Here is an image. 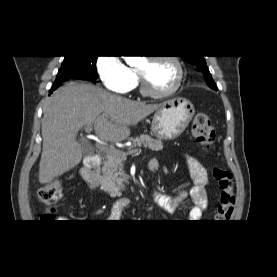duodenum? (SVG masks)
<instances>
[{"mask_svg": "<svg viewBox=\"0 0 277 277\" xmlns=\"http://www.w3.org/2000/svg\"><path fill=\"white\" fill-rule=\"evenodd\" d=\"M100 165L101 157L98 154H92L85 159L81 168V177L91 189L98 188V181L93 172L98 170Z\"/></svg>", "mask_w": 277, "mask_h": 277, "instance_id": "1", "label": "duodenum"}]
</instances>
